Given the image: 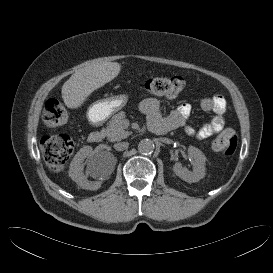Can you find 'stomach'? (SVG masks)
<instances>
[{"label": "stomach", "mask_w": 273, "mask_h": 273, "mask_svg": "<svg viewBox=\"0 0 273 273\" xmlns=\"http://www.w3.org/2000/svg\"><path fill=\"white\" fill-rule=\"evenodd\" d=\"M128 101L124 94L113 95L91 104L87 110V118L92 124L106 121L116 112L121 110Z\"/></svg>", "instance_id": "obj_1"}]
</instances>
